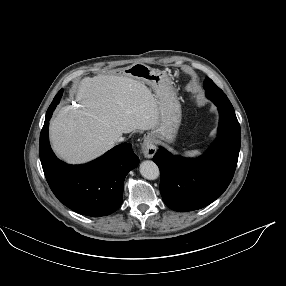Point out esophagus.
Returning a JSON list of instances; mask_svg holds the SVG:
<instances>
[{
    "label": "esophagus",
    "instance_id": "1",
    "mask_svg": "<svg viewBox=\"0 0 286 286\" xmlns=\"http://www.w3.org/2000/svg\"><path fill=\"white\" fill-rule=\"evenodd\" d=\"M156 153V146L153 139L147 136L142 143V154L145 158H152Z\"/></svg>",
    "mask_w": 286,
    "mask_h": 286
}]
</instances>
